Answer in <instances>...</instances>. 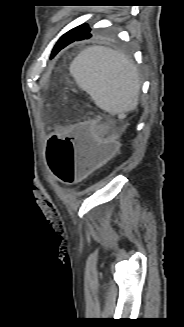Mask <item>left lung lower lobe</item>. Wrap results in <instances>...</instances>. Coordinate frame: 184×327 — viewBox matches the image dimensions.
Here are the masks:
<instances>
[{"mask_svg":"<svg viewBox=\"0 0 184 327\" xmlns=\"http://www.w3.org/2000/svg\"><path fill=\"white\" fill-rule=\"evenodd\" d=\"M91 36H92L91 33L86 36L79 35L78 31H76L75 28H73L72 30L65 33L62 37H60V39L57 41L51 53V58H53L61 49L71 44L72 42L89 39Z\"/></svg>","mask_w":184,"mask_h":327,"instance_id":"0a47b994","label":"left lung lower lobe"}]
</instances>
